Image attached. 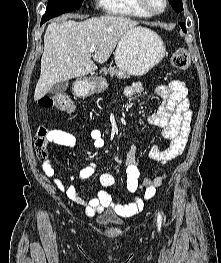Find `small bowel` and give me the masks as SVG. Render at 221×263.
<instances>
[{
    "label": "small bowel",
    "mask_w": 221,
    "mask_h": 263,
    "mask_svg": "<svg viewBox=\"0 0 221 263\" xmlns=\"http://www.w3.org/2000/svg\"><path fill=\"white\" fill-rule=\"evenodd\" d=\"M144 87L141 82H133L128 85L124 94L126 97H133L140 94ZM156 93L162 98V102L155 114L149 117V122L162 129L163 136L170 141V145L166 149H160L154 145L149 149L148 155L155 160H171L179 156L185 149L187 138L190 132L191 111L189 108L188 90L185 84L178 80L170 81L166 85H158L155 88ZM92 145L96 149L105 146L103 134L98 129H92L89 133ZM46 139L50 143L59 146L73 148L77 144L76 136L62 129H53L46 135ZM58 159L62 156L56 154ZM42 168L44 173L53 178L55 186L76 205L84 207L88 216H95L106 209H111L117 215L128 217L139 212L144 202L153 197L155 188L150 187L145 191L143 197H134L130 202L122 204L113 200L112 196L104 191H98L95 197L86 198L81 195L74 186H66L60 177L57 176L55 168L48 159H43ZM96 171L95 164H88L80 169L77 178L87 179ZM70 176V179H74ZM139 169L135 156V150L130 147L126 157V190L128 193H135L138 188ZM162 177H158L156 185H159ZM100 182L104 186L114 184V178L109 173H102Z\"/></svg>",
    "instance_id": "1"
}]
</instances>
